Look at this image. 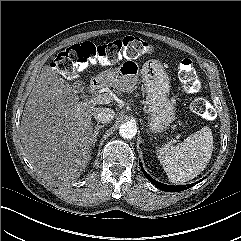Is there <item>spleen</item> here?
<instances>
[{"label":"spleen","instance_id":"spleen-1","mask_svg":"<svg viewBox=\"0 0 241 241\" xmlns=\"http://www.w3.org/2000/svg\"><path fill=\"white\" fill-rule=\"evenodd\" d=\"M212 151V131L206 126L188 136L177 146L159 148L157 155L169 181L174 184H184L197 177L206 168Z\"/></svg>","mask_w":241,"mask_h":241}]
</instances>
